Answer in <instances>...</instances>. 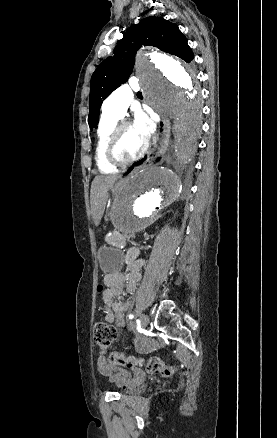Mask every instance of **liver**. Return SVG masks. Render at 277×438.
Instances as JSON below:
<instances>
[{
    "mask_svg": "<svg viewBox=\"0 0 277 438\" xmlns=\"http://www.w3.org/2000/svg\"><path fill=\"white\" fill-rule=\"evenodd\" d=\"M119 176H96L91 186V212L95 226L101 222L107 204L108 190Z\"/></svg>",
    "mask_w": 277,
    "mask_h": 438,
    "instance_id": "liver-1",
    "label": "liver"
}]
</instances>
